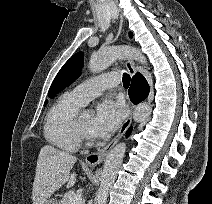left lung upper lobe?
Returning a JSON list of instances; mask_svg holds the SVG:
<instances>
[{
  "label": "left lung upper lobe",
  "mask_w": 212,
  "mask_h": 204,
  "mask_svg": "<svg viewBox=\"0 0 212 204\" xmlns=\"http://www.w3.org/2000/svg\"><path fill=\"white\" fill-rule=\"evenodd\" d=\"M132 37V33H130ZM83 65V55L81 52L74 54L60 69L48 92V97L53 98L58 92L69 86L75 79L80 76ZM47 101L45 102V105Z\"/></svg>",
  "instance_id": "obj_1"
}]
</instances>
